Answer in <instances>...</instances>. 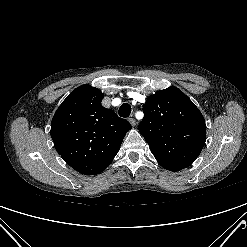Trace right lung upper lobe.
<instances>
[{
    "label": "right lung upper lobe",
    "instance_id": "right-lung-upper-lobe-1",
    "mask_svg": "<svg viewBox=\"0 0 247 247\" xmlns=\"http://www.w3.org/2000/svg\"><path fill=\"white\" fill-rule=\"evenodd\" d=\"M104 94L90 85L71 92L51 122V137L65 162L84 175L99 174L119 151L130 123L101 105Z\"/></svg>",
    "mask_w": 247,
    "mask_h": 247
}]
</instances>
